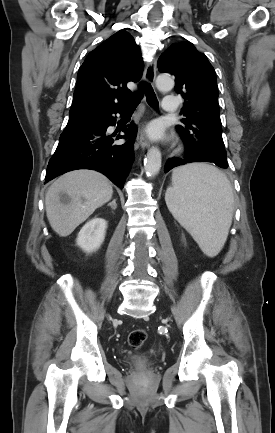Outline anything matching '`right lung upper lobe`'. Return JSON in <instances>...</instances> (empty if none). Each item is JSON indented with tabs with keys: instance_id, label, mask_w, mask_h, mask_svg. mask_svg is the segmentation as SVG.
I'll list each match as a JSON object with an SVG mask.
<instances>
[{
	"instance_id": "cb5924a9",
	"label": "right lung upper lobe",
	"mask_w": 275,
	"mask_h": 433,
	"mask_svg": "<svg viewBox=\"0 0 275 433\" xmlns=\"http://www.w3.org/2000/svg\"><path fill=\"white\" fill-rule=\"evenodd\" d=\"M143 60L135 40L120 30L91 51L80 67L69 120L97 110L124 107L132 92L126 84L137 82Z\"/></svg>"
}]
</instances>
